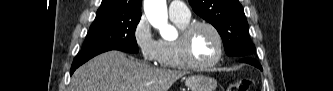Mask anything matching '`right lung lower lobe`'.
Wrapping results in <instances>:
<instances>
[{"label":"right lung lower lobe","instance_id":"obj_1","mask_svg":"<svg viewBox=\"0 0 333 91\" xmlns=\"http://www.w3.org/2000/svg\"><path fill=\"white\" fill-rule=\"evenodd\" d=\"M105 51H97V52H90V53H78L77 56L75 57L72 67H71V75L73 72L83 63L88 61L89 59L93 58L94 56L103 53Z\"/></svg>","mask_w":333,"mask_h":91}]
</instances>
